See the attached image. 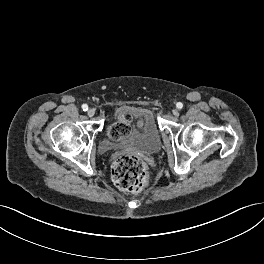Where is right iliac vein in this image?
<instances>
[{
  "instance_id": "1",
  "label": "right iliac vein",
  "mask_w": 264,
  "mask_h": 264,
  "mask_svg": "<svg viewBox=\"0 0 264 264\" xmlns=\"http://www.w3.org/2000/svg\"><path fill=\"white\" fill-rule=\"evenodd\" d=\"M87 114H88L89 117H92V116H94V114H95V110H94V109H89V110L87 111Z\"/></svg>"
}]
</instances>
